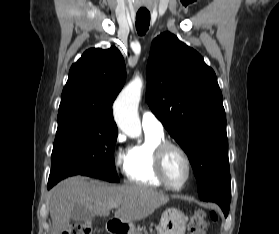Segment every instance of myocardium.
<instances>
[{
    "mask_svg": "<svg viewBox=\"0 0 279 234\" xmlns=\"http://www.w3.org/2000/svg\"><path fill=\"white\" fill-rule=\"evenodd\" d=\"M171 150H175L178 153H180L186 163L187 174L184 181L180 185H174L170 183L166 177L165 159L168 152ZM154 168L160 182L168 189L174 191L183 189L190 181L193 173L192 161L187 151L182 146L170 141H163L156 146L154 156Z\"/></svg>",
    "mask_w": 279,
    "mask_h": 234,
    "instance_id": "1",
    "label": "myocardium"
}]
</instances>
